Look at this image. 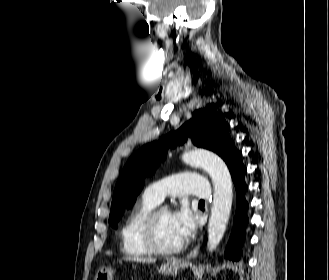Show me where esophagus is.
I'll list each match as a JSON object with an SVG mask.
<instances>
[{"mask_svg": "<svg viewBox=\"0 0 329 280\" xmlns=\"http://www.w3.org/2000/svg\"><path fill=\"white\" fill-rule=\"evenodd\" d=\"M199 252V245L195 246L194 249L187 255V260L195 258Z\"/></svg>", "mask_w": 329, "mask_h": 280, "instance_id": "1", "label": "esophagus"}]
</instances>
